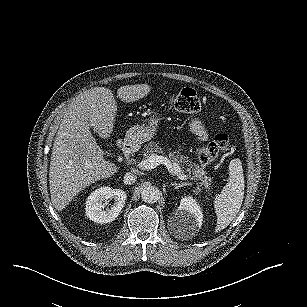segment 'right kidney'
<instances>
[{
	"label": "right kidney",
	"instance_id": "right-kidney-1",
	"mask_svg": "<svg viewBox=\"0 0 307 307\" xmlns=\"http://www.w3.org/2000/svg\"><path fill=\"white\" fill-rule=\"evenodd\" d=\"M114 199V204L104 210V202ZM127 195L122 189L109 186L100 187L87 197L85 214L95 223H109L114 221L125 206Z\"/></svg>",
	"mask_w": 307,
	"mask_h": 307
}]
</instances>
